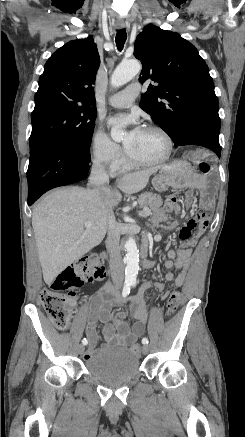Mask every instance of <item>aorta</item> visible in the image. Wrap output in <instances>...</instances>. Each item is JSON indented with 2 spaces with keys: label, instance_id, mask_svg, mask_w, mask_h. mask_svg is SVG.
<instances>
[{
  "label": "aorta",
  "instance_id": "1",
  "mask_svg": "<svg viewBox=\"0 0 245 437\" xmlns=\"http://www.w3.org/2000/svg\"><path fill=\"white\" fill-rule=\"evenodd\" d=\"M141 70V65L136 60L121 63L113 72L111 76V85L113 87H120L129 82ZM111 137L115 141H120L124 137L122 128H113ZM126 255L124 262L126 264L125 280L126 282H135L139 270V250L135 238L131 235L124 243Z\"/></svg>",
  "mask_w": 245,
  "mask_h": 437
}]
</instances>
